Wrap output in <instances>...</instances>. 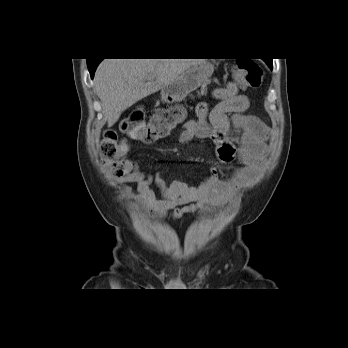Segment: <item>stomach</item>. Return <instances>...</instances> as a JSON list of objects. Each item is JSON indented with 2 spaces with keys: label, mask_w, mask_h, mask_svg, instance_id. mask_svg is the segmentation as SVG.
<instances>
[{
  "label": "stomach",
  "mask_w": 348,
  "mask_h": 348,
  "mask_svg": "<svg viewBox=\"0 0 348 348\" xmlns=\"http://www.w3.org/2000/svg\"><path fill=\"white\" fill-rule=\"evenodd\" d=\"M214 65L201 60L161 89V100L168 104L180 102L192 91L201 87L213 74Z\"/></svg>",
  "instance_id": "obj_1"
}]
</instances>
